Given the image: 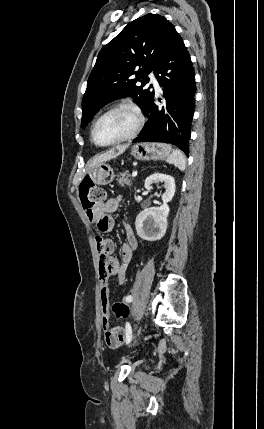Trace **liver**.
Masks as SVG:
<instances>
[{"instance_id": "liver-1", "label": "liver", "mask_w": 264, "mask_h": 429, "mask_svg": "<svg viewBox=\"0 0 264 429\" xmlns=\"http://www.w3.org/2000/svg\"><path fill=\"white\" fill-rule=\"evenodd\" d=\"M128 146V144L120 145L102 153L99 156L94 157L89 167L92 168L97 164L116 158L117 156L121 155L128 148Z\"/></svg>"}]
</instances>
